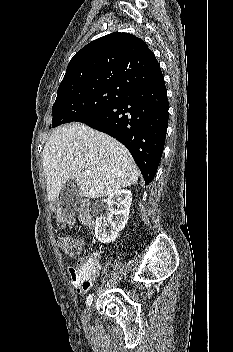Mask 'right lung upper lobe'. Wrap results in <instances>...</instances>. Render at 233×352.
Listing matches in <instances>:
<instances>
[{"label": "right lung upper lobe", "mask_w": 233, "mask_h": 352, "mask_svg": "<svg viewBox=\"0 0 233 352\" xmlns=\"http://www.w3.org/2000/svg\"><path fill=\"white\" fill-rule=\"evenodd\" d=\"M162 77L155 55L143 40L114 32L92 41L72 57L57 95L102 85L133 91Z\"/></svg>", "instance_id": "1"}]
</instances>
